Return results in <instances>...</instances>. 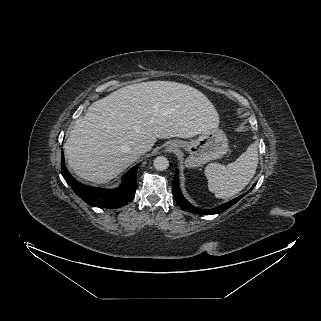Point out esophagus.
Wrapping results in <instances>:
<instances>
[{
	"mask_svg": "<svg viewBox=\"0 0 321 321\" xmlns=\"http://www.w3.org/2000/svg\"><path fill=\"white\" fill-rule=\"evenodd\" d=\"M173 150V147L172 146H167V148H166V151H172Z\"/></svg>",
	"mask_w": 321,
	"mask_h": 321,
	"instance_id": "esophagus-1",
	"label": "esophagus"
}]
</instances>
